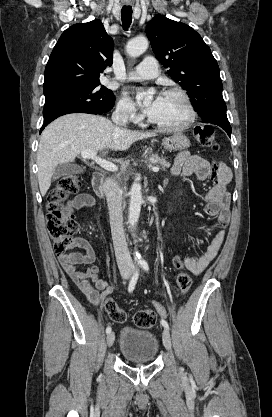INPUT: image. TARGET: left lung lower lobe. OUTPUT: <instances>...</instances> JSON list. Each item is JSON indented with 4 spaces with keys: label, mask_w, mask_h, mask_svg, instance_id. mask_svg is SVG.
<instances>
[{
    "label": "left lung lower lobe",
    "mask_w": 272,
    "mask_h": 417,
    "mask_svg": "<svg viewBox=\"0 0 272 417\" xmlns=\"http://www.w3.org/2000/svg\"><path fill=\"white\" fill-rule=\"evenodd\" d=\"M229 136H231V128H223Z\"/></svg>",
    "instance_id": "0a47b994"
}]
</instances>
